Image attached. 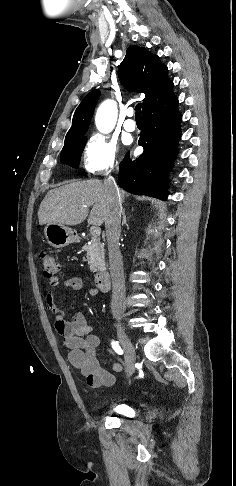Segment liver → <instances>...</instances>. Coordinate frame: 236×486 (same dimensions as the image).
I'll list each match as a JSON object with an SVG mask.
<instances>
[{
	"instance_id": "liver-1",
	"label": "liver",
	"mask_w": 236,
	"mask_h": 486,
	"mask_svg": "<svg viewBox=\"0 0 236 486\" xmlns=\"http://www.w3.org/2000/svg\"><path fill=\"white\" fill-rule=\"evenodd\" d=\"M120 196L123 200L125 192L120 191ZM108 207L107 189L100 180L72 182L46 194L38 210L39 224L74 226L88 217L89 224L100 226L105 222Z\"/></svg>"
}]
</instances>
